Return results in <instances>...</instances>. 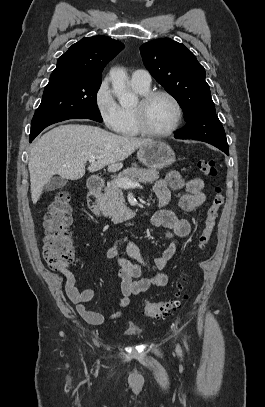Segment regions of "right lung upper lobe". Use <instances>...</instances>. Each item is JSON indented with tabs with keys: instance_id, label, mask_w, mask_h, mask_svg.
Here are the masks:
<instances>
[{
	"instance_id": "cb5924a9",
	"label": "right lung upper lobe",
	"mask_w": 265,
	"mask_h": 407,
	"mask_svg": "<svg viewBox=\"0 0 265 407\" xmlns=\"http://www.w3.org/2000/svg\"><path fill=\"white\" fill-rule=\"evenodd\" d=\"M123 48L124 44L107 36L83 38L70 46L58 59L51 76L66 74L77 78L101 80L104 67Z\"/></svg>"
}]
</instances>
